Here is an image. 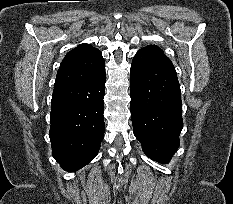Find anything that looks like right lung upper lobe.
<instances>
[{
    "label": "right lung upper lobe",
    "mask_w": 233,
    "mask_h": 204,
    "mask_svg": "<svg viewBox=\"0 0 233 204\" xmlns=\"http://www.w3.org/2000/svg\"><path fill=\"white\" fill-rule=\"evenodd\" d=\"M104 64V59L98 49L88 44L79 45L63 59L56 76L54 90L91 78Z\"/></svg>",
    "instance_id": "obj_1"
}]
</instances>
